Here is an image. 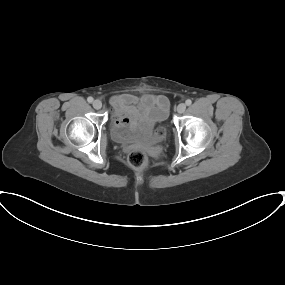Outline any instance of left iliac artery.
Wrapping results in <instances>:
<instances>
[{"label": "left iliac artery", "mask_w": 285, "mask_h": 285, "mask_svg": "<svg viewBox=\"0 0 285 285\" xmlns=\"http://www.w3.org/2000/svg\"><path fill=\"white\" fill-rule=\"evenodd\" d=\"M185 104H186L187 106H190V105L192 104V101H191L190 99H187V100L185 101Z\"/></svg>", "instance_id": "1"}]
</instances>
